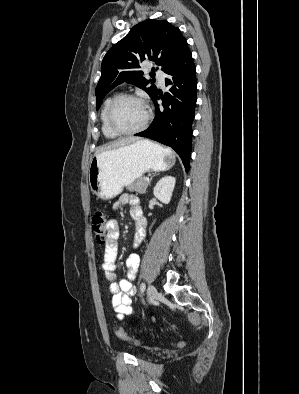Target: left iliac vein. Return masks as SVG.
I'll use <instances>...</instances> for the list:
<instances>
[{"label":"left iliac vein","instance_id":"4c4485c4","mask_svg":"<svg viewBox=\"0 0 299 394\" xmlns=\"http://www.w3.org/2000/svg\"><path fill=\"white\" fill-rule=\"evenodd\" d=\"M157 296H158L157 289L153 285H150L147 289L148 300L153 301L157 298Z\"/></svg>","mask_w":299,"mask_h":394}]
</instances>
